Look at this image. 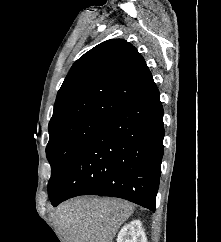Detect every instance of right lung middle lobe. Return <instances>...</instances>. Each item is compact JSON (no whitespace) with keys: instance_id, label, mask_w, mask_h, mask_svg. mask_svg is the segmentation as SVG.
<instances>
[{"instance_id":"right-lung-middle-lobe-1","label":"right lung middle lobe","mask_w":221,"mask_h":242,"mask_svg":"<svg viewBox=\"0 0 221 242\" xmlns=\"http://www.w3.org/2000/svg\"><path fill=\"white\" fill-rule=\"evenodd\" d=\"M101 123V120L84 119L49 130L50 138L46 147V155L51 165L52 175L48 182V194L62 175L71 157Z\"/></svg>"}]
</instances>
